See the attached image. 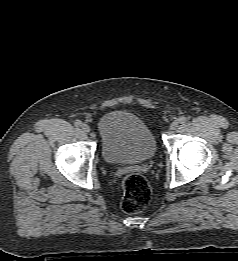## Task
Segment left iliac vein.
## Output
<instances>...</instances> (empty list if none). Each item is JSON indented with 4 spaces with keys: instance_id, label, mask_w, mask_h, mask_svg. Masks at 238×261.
<instances>
[{
    "instance_id": "1",
    "label": "left iliac vein",
    "mask_w": 238,
    "mask_h": 261,
    "mask_svg": "<svg viewBox=\"0 0 238 261\" xmlns=\"http://www.w3.org/2000/svg\"><path fill=\"white\" fill-rule=\"evenodd\" d=\"M179 125V122L178 121H173L171 124H170V129L171 130H175Z\"/></svg>"
}]
</instances>
